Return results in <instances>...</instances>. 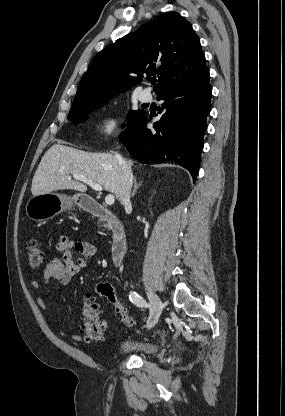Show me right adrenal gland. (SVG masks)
<instances>
[{"label": "right adrenal gland", "instance_id": "obj_1", "mask_svg": "<svg viewBox=\"0 0 285 416\" xmlns=\"http://www.w3.org/2000/svg\"><path fill=\"white\" fill-rule=\"evenodd\" d=\"M133 180H134V190H133L131 196H135L136 190H138L139 186H141V184H142V182H139V184H138V182L136 180V176H134Z\"/></svg>", "mask_w": 285, "mask_h": 416}]
</instances>
